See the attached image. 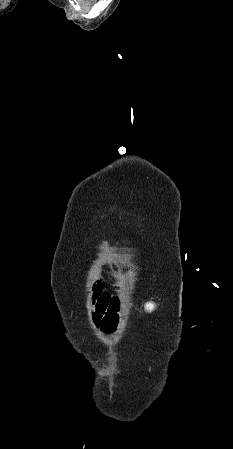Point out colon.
I'll use <instances>...</instances> for the list:
<instances>
[{"instance_id": "1", "label": "colon", "mask_w": 233, "mask_h": 449, "mask_svg": "<svg viewBox=\"0 0 233 449\" xmlns=\"http://www.w3.org/2000/svg\"><path fill=\"white\" fill-rule=\"evenodd\" d=\"M94 303L95 310L93 311L94 322L97 328H114L116 323L123 322V304L122 297H117L115 293L102 292L101 282L97 281L95 284Z\"/></svg>"}]
</instances>
